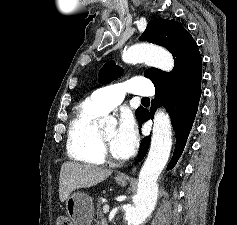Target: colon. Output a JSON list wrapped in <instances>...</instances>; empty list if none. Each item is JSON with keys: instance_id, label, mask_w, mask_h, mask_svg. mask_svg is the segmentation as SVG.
<instances>
[{"instance_id": "obj_1", "label": "colon", "mask_w": 237, "mask_h": 225, "mask_svg": "<svg viewBox=\"0 0 237 225\" xmlns=\"http://www.w3.org/2000/svg\"><path fill=\"white\" fill-rule=\"evenodd\" d=\"M56 225H73V224L69 217L62 215L58 217Z\"/></svg>"}]
</instances>
